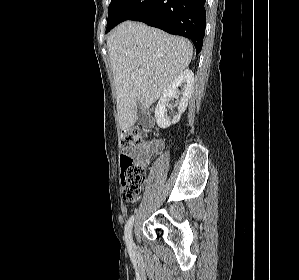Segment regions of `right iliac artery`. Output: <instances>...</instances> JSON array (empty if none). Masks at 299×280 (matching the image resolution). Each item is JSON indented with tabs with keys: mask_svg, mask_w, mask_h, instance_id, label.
<instances>
[{
	"mask_svg": "<svg viewBox=\"0 0 299 280\" xmlns=\"http://www.w3.org/2000/svg\"><path fill=\"white\" fill-rule=\"evenodd\" d=\"M133 222H134V216H131L129 218V220L127 221L126 226H125L124 239H125V242H126V245H127L128 249L130 251L134 248V243H133L132 234H131Z\"/></svg>",
	"mask_w": 299,
	"mask_h": 280,
	"instance_id": "1",
	"label": "right iliac artery"
}]
</instances>
